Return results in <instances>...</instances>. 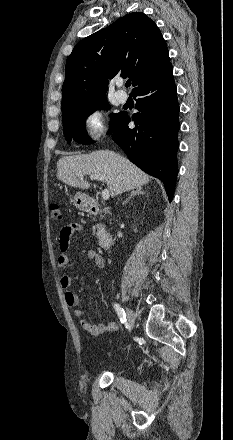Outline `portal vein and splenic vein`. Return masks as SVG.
<instances>
[{
	"instance_id": "1",
	"label": "portal vein and splenic vein",
	"mask_w": 233,
	"mask_h": 440,
	"mask_svg": "<svg viewBox=\"0 0 233 440\" xmlns=\"http://www.w3.org/2000/svg\"><path fill=\"white\" fill-rule=\"evenodd\" d=\"M89 177H90V179L98 180V181H102V182H104V177H103V176H99V175H90ZM109 197H110V191H109L108 189H104V190L102 191V199H103V200H108Z\"/></svg>"
}]
</instances>
